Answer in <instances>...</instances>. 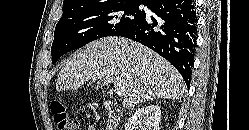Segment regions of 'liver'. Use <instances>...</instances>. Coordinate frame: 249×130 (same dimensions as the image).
<instances>
[{
    "label": "liver",
    "instance_id": "1",
    "mask_svg": "<svg viewBox=\"0 0 249 130\" xmlns=\"http://www.w3.org/2000/svg\"><path fill=\"white\" fill-rule=\"evenodd\" d=\"M89 79L97 88L110 83L125 87L124 107L157 98L179 99L185 91L179 72L163 57L138 42L122 37L93 41L63 62L57 91L78 90Z\"/></svg>",
    "mask_w": 249,
    "mask_h": 130
}]
</instances>
